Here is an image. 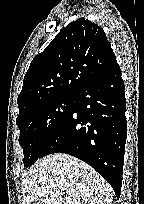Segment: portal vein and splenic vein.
Here are the masks:
<instances>
[{
  "label": "portal vein and splenic vein",
  "mask_w": 144,
  "mask_h": 204,
  "mask_svg": "<svg viewBox=\"0 0 144 204\" xmlns=\"http://www.w3.org/2000/svg\"><path fill=\"white\" fill-rule=\"evenodd\" d=\"M50 195L53 196V195H54V192H51Z\"/></svg>",
  "instance_id": "portal-vein-and-splenic-vein-1"
}]
</instances>
